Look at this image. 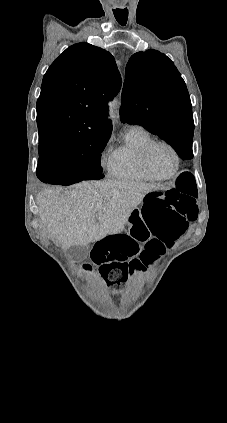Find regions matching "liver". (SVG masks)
Wrapping results in <instances>:
<instances>
[{
	"label": "liver",
	"mask_w": 227,
	"mask_h": 423,
	"mask_svg": "<svg viewBox=\"0 0 227 423\" xmlns=\"http://www.w3.org/2000/svg\"><path fill=\"white\" fill-rule=\"evenodd\" d=\"M160 188V184L117 180L81 182L64 192L49 188L37 198L40 221L63 249L88 245L108 233L124 231L131 211L146 194Z\"/></svg>",
	"instance_id": "liver-1"
}]
</instances>
